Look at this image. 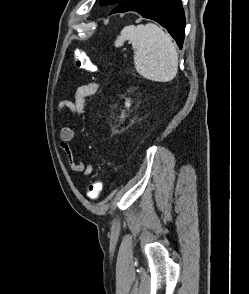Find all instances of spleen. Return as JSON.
Here are the masks:
<instances>
[{
  "mask_svg": "<svg viewBox=\"0 0 249 294\" xmlns=\"http://www.w3.org/2000/svg\"><path fill=\"white\" fill-rule=\"evenodd\" d=\"M128 40L134 50L136 71L146 79L168 82L178 72V53L171 36L153 23L124 27L115 41L119 47Z\"/></svg>",
  "mask_w": 249,
  "mask_h": 294,
  "instance_id": "obj_1",
  "label": "spleen"
}]
</instances>
